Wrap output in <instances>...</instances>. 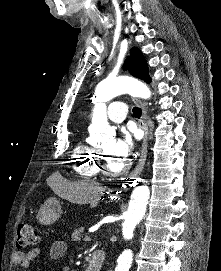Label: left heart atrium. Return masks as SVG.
Here are the masks:
<instances>
[{
	"label": "left heart atrium",
	"instance_id": "left-heart-atrium-1",
	"mask_svg": "<svg viewBox=\"0 0 221 271\" xmlns=\"http://www.w3.org/2000/svg\"><path fill=\"white\" fill-rule=\"evenodd\" d=\"M133 135L136 139L141 137L139 132H134ZM123 137L125 142H114L115 148H111V157H130V150L135 147V142H131L129 135L126 133H124Z\"/></svg>",
	"mask_w": 221,
	"mask_h": 271
}]
</instances>
